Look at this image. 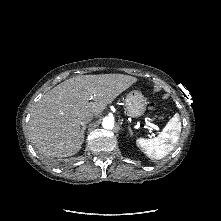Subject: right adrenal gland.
<instances>
[{"label":"right adrenal gland","mask_w":221,"mask_h":221,"mask_svg":"<svg viewBox=\"0 0 221 221\" xmlns=\"http://www.w3.org/2000/svg\"><path fill=\"white\" fill-rule=\"evenodd\" d=\"M86 128H87V126L85 125V126L82 127V130H81L82 131V142L84 141Z\"/></svg>","instance_id":"1"}]
</instances>
